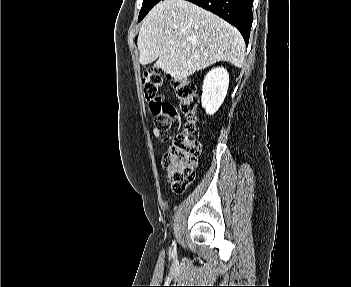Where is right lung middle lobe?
<instances>
[{
  "label": "right lung middle lobe",
  "mask_w": 351,
  "mask_h": 287,
  "mask_svg": "<svg viewBox=\"0 0 351 287\" xmlns=\"http://www.w3.org/2000/svg\"><path fill=\"white\" fill-rule=\"evenodd\" d=\"M159 1L161 0H143L138 21H141Z\"/></svg>",
  "instance_id": "right-lung-middle-lobe-1"
}]
</instances>
